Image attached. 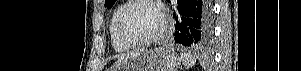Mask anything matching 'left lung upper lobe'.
<instances>
[{
	"label": "left lung upper lobe",
	"mask_w": 301,
	"mask_h": 71,
	"mask_svg": "<svg viewBox=\"0 0 301 71\" xmlns=\"http://www.w3.org/2000/svg\"><path fill=\"white\" fill-rule=\"evenodd\" d=\"M115 2H116V0H105V7L110 9Z\"/></svg>",
	"instance_id": "5c2ea615"
}]
</instances>
